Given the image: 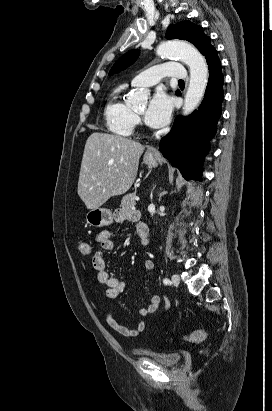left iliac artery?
I'll return each mask as SVG.
<instances>
[{"label": "left iliac artery", "mask_w": 272, "mask_h": 411, "mask_svg": "<svg viewBox=\"0 0 272 411\" xmlns=\"http://www.w3.org/2000/svg\"><path fill=\"white\" fill-rule=\"evenodd\" d=\"M163 283H164L165 285H167V284H171V281H170L168 278H165V279L163 280Z\"/></svg>", "instance_id": "1"}]
</instances>
